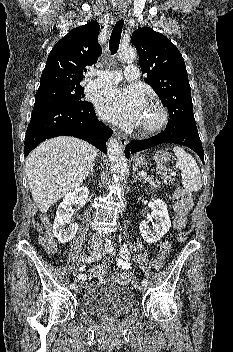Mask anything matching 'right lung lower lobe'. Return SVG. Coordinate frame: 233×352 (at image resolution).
<instances>
[{
	"instance_id": "obj_1",
	"label": "right lung lower lobe",
	"mask_w": 233,
	"mask_h": 352,
	"mask_svg": "<svg viewBox=\"0 0 233 352\" xmlns=\"http://www.w3.org/2000/svg\"><path fill=\"white\" fill-rule=\"evenodd\" d=\"M112 133L97 119L93 105L88 101L75 106L36 108L27 128L24 154L27 156L41 142L56 136H74L107 153L106 141Z\"/></svg>"
}]
</instances>
